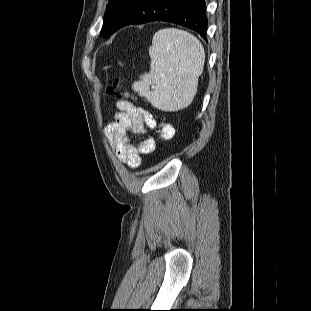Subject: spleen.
<instances>
[{"instance_id": "3e777b00", "label": "spleen", "mask_w": 311, "mask_h": 311, "mask_svg": "<svg viewBox=\"0 0 311 311\" xmlns=\"http://www.w3.org/2000/svg\"><path fill=\"white\" fill-rule=\"evenodd\" d=\"M150 72L140 76L132 89L156 108L174 112L188 107L198 87L205 62L204 47L187 31H157L149 48ZM154 88L150 89V86Z\"/></svg>"}]
</instances>
